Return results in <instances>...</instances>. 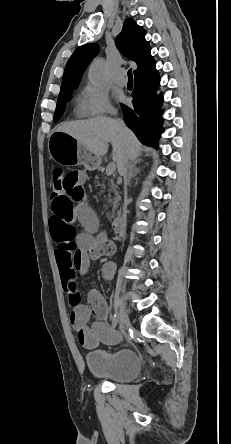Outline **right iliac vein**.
<instances>
[{"label":"right iliac vein","mask_w":231,"mask_h":444,"mask_svg":"<svg viewBox=\"0 0 231 444\" xmlns=\"http://www.w3.org/2000/svg\"><path fill=\"white\" fill-rule=\"evenodd\" d=\"M119 320L122 331L124 332L130 326L129 318L124 310L120 311Z\"/></svg>","instance_id":"1"}]
</instances>
